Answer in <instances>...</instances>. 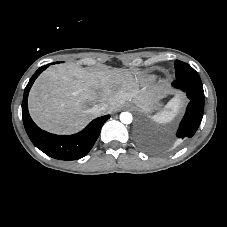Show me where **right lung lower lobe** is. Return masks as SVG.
<instances>
[{
  "instance_id": "1",
  "label": "right lung lower lobe",
  "mask_w": 227,
  "mask_h": 227,
  "mask_svg": "<svg viewBox=\"0 0 227 227\" xmlns=\"http://www.w3.org/2000/svg\"><path fill=\"white\" fill-rule=\"evenodd\" d=\"M49 65L39 68L29 80L22 102V119L25 130L32 143L48 156L60 160H76L84 157L96 142L103 124L110 118L109 115L102 116L93 120L81 132L66 136L55 135L41 130L31 119L27 100L28 94L35 79Z\"/></svg>"
}]
</instances>
